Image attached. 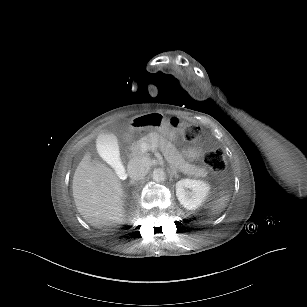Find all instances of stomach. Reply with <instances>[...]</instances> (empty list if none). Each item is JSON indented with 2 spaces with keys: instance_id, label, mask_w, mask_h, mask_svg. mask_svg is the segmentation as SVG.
Instances as JSON below:
<instances>
[{
  "instance_id": "obj_1",
  "label": "stomach",
  "mask_w": 307,
  "mask_h": 307,
  "mask_svg": "<svg viewBox=\"0 0 307 307\" xmlns=\"http://www.w3.org/2000/svg\"><path fill=\"white\" fill-rule=\"evenodd\" d=\"M132 127L136 130L150 129L159 132L170 141L177 140L176 129L159 113H149L132 119Z\"/></svg>"
}]
</instances>
